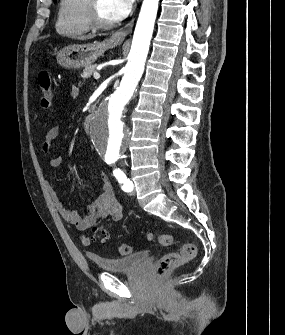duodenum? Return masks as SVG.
Listing matches in <instances>:
<instances>
[{
	"label": "duodenum",
	"instance_id": "1",
	"mask_svg": "<svg viewBox=\"0 0 285 335\" xmlns=\"http://www.w3.org/2000/svg\"><path fill=\"white\" fill-rule=\"evenodd\" d=\"M91 121H92V116L87 115L85 120H84V127H85L86 130H89Z\"/></svg>",
	"mask_w": 285,
	"mask_h": 335
}]
</instances>
